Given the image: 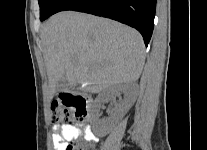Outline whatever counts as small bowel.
Segmentation results:
<instances>
[{
	"label": "small bowel",
	"instance_id": "obj_1",
	"mask_svg": "<svg viewBox=\"0 0 207 150\" xmlns=\"http://www.w3.org/2000/svg\"><path fill=\"white\" fill-rule=\"evenodd\" d=\"M53 130L52 142L55 150H66L67 144L81 135L84 137L85 141L89 143L98 140L97 135L92 131L88 124H82L80 126H75L71 123L62 126L55 125Z\"/></svg>",
	"mask_w": 207,
	"mask_h": 150
}]
</instances>
